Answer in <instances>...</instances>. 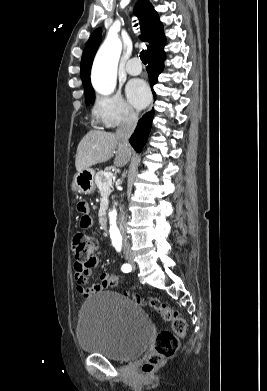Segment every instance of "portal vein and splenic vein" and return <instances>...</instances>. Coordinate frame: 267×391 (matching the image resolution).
<instances>
[{"label": "portal vein and splenic vein", "instance_id": "obj_1", "mask_svg": "<svg viewBox=\"0 0 267 391\" xmlns=\"http://www.w3.org/2000/svg\"><path fill=\"white\" fill-rule=\"evenodd\" d=\"M104 176L106 177V178H111L112 176H113V174L111 173V172H106L105 174H104Z\"/></svg>", "mask_w": 267, "mask_h": 391}]
</instances>
